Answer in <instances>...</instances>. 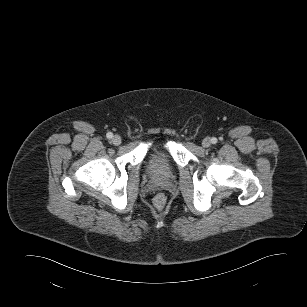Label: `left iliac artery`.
Returning a JSON list of instances; mask_svg holds the SVG:
<instances>
[{"instance_id": "left-iliac-artery-1", "label": "left iliac artery", "mask_w": 307, "mask_h": 307, "mask_svg": "<svg viewBox=\"0 0 307 307\" xmlns=\"http://www.w3.org/2000/svg\"><path fill=\"white\" fill-rule=\"evenodd\" d=\"M211 142H212V144H216L217 143V139L216 138H212Z\"/></svg>"}]
</instances>
